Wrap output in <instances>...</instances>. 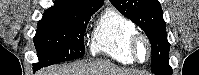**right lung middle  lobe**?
Segmentation results:
<instances>
[{"instance_id": "dd1d6c3e", "label": "right lung middle lobe", "mask_w": 199, "mask_h": 75, "mask_svg": "<svg viewBox=\"0 0 199 75\" xmlns=\"http://www.w3.org/2000/svg\"><path fill=\"white\" fill-rule=\"evenodd\" d=\"M91 16L49 9L34 37L39 63L33 68L57 64L84 56V33Z\"/></svg>"}]
</instances>
